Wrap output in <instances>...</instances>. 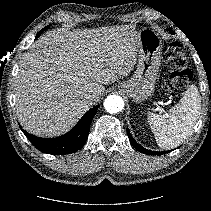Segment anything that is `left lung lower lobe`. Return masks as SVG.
Here are the masks:
<instances>
[{
  "mask_svg": "<svg viewBox=\"0 0 211 211\" xmlns=\"http://www.w3.org/2000/svg\"><path fill=\"white\" fill-rule=\"evenodd\" d=\"M127 134H128L130 143H131L138 151H140V152L143 153V154H147V155H161V154H165V153L170 152V151L156 152V151L147 150V149L143 148L142 146H140V145L132 138V136H131V134H130L128 128H127Z\"/></svg>",
  "mask_w": 211,
  "mask_h": 211,
  "instance_id": "1",
  "label": "left lung lower lobe"
}]
</instances>
